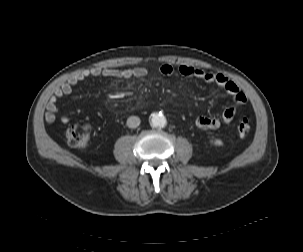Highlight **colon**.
<instances>
[{
  "label": "colon",
  "instance_id": "colon-1",
  "mask_svg": "<svg viewBox=\"0 0 303 252\" xmlns=\"http://www.w3.org/2000/svg\"><path fill=\"white\" fill-rule=\"evenodd\" d=\"M250 131V124L247 121H241L236 126V133L239 136L247 135ZM67 141L74 146L83 147L89 139L88 126L72 125L67 130Z\"/></svg>",
  "mask_w": 303,
  "mask_h": 252
}]
</instances>
